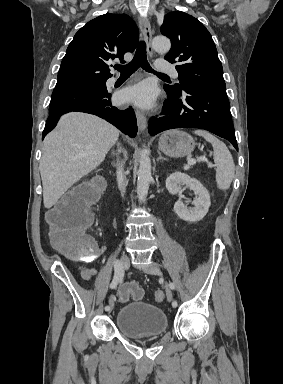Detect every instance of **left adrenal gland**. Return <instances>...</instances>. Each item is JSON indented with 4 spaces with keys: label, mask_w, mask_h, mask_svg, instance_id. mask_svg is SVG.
<instances>
[{
    "label": "left adrenal gland",
    "mask_w": 283,
    "mask_h": 384,
    "mask_svg": "<svg viewBox=\"0 0 283 384\" xmlns=\"http://www.w3.org/2000/svg\"><path fill=\"white\" fill-rule=\"evenodd\" d=\"M158 154H159V158H157V162H158V160H167V158H162L161 152H158Z\"/></svg>",
    "instance_id": "obj_1"
}]
</instances>
